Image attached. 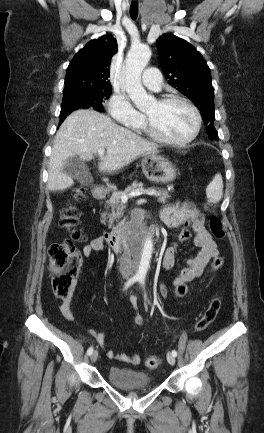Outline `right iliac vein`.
<instances>
[{
	"label": "right iliac vein",
	"instance_id": "1",
	"mask_svg": "<svg viewBox=\"0 0 264 433\" xmlns=\"http://www.w3.org/2000/svg\"><path fill=\"white\" fill-rule=\"evenodd\" d=\"M97 358H98V351L94 350L90 356V360L92 363H94V362H96Z\"/></svg>",
	"mask_w": 264,
	"mask_h": 433
}]
</instances>
